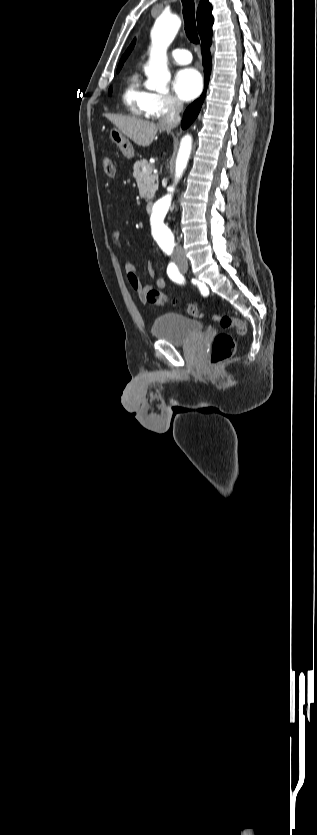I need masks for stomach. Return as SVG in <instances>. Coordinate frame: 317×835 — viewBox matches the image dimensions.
<instances>
[{"instance_id": "1", "label": "stomach", "mask_w": 317, "mask_h": 835, "mask_svg": "<svg viewBox=\"0 0 317 835\" xmlns=\"http://www.w3.org/2000/svg\"><path fill=\"white\" fill-rule=\"evenodd\" d=\"M109 137L111 141L117 145L124 157L127 159L134 157L132 144L117 127H112L109 130Z\"/></svg>"}]
</instances>
